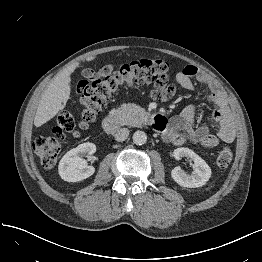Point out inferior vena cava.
I'll return each instance as SVG.
<instances>
[{
	"label": "inferior vena cava",
	"instance_id": "obj_1",
	"mask_svg": "<svg viewBox=\"0 0 262 262\" xmlns=\"http://www.w3.org/2000/svg\"><path fill=\"white\" fill-rule=\"evenodd\" d=\"M129 135V130L127 128H121L119 129L115 134V140L116 141H125Z\"/></svg>",
	"mask_w": 262,
	"mask_h": 262
}]
</instances>
